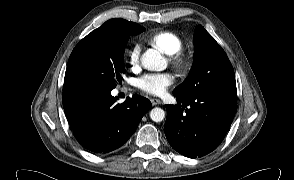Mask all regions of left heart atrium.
<instances>
[{"instance_id": "39dd6f15", "label": "left heart atrium", "mask_w": 294, "mask_h": 180, "mask_svg": "<svg viewBox=\"0 0 294 180\" xmlns=\"http://www.w3.org/2000/svg\"><path fill=\"white\" fill-rule=\"evenodd\" d=\"M174 82L170 73H149L136 79V87L150 95H162Z\"/></svg>"}]
</instances>
